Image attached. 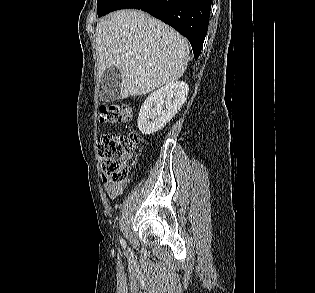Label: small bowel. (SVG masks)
Listing matches in <instances>:
<instances>
[{
	"label": "small bowel",
	"mask_w": 315,
	"mask_h": 293,
	"mask_svg": "<svg viewBox=\"0 0 315 293\" xmlns=\"http://www.w3.org/2000/svg\"><path fill=\"white\" fill-rule=\"evenodd\" d=\"M124 189V183L122 184H110L104 183V190L108 194L110 199H115L122 195Z\"/></svg>",
	"instance_id": "obj_1"
}]
</instances>
